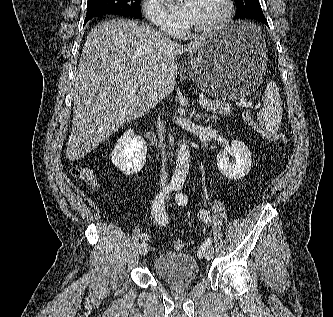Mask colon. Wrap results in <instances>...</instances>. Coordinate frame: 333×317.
I'll return each mask as SVG.
<instances>
[{
  "label": "colon",
  "mask_w": 333,
  "mask_h": 317,
  "mask_svg": "<svg viewBox=\"0 0 333 317\" xmlns=\"http://www.w3.org/2000/svg\"><path fill=\"white\" fill-rule=\"evenodd\" d=\"M243 118L262 137H264L268 140H271V141H275V142H280V143L285 142V137L280 131L274 130V129H268V128L261 126L258 122L255 121V119L252 117V115L249 112H245L243 114ZM71 173L77 179L87 181L88 183H90L92 185H97L96 179L94 178L91 171L88 169L75 167V168L71 169ZM173 247L176 250H182L184 247V242L179 239L175 240L173 242Z\"/></svg>",
  "instance_id": "obj_1"
}]
</instances>
